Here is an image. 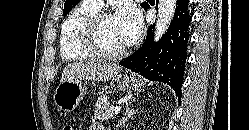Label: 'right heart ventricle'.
Returning a JSON list of instances; mask_svg holds the SVG:
<instances>
[{
  "mask_svg": "<svg viewBox=\"0 0 249 130\" xmlns=\"http://www.w3.org/2000/svg\"><path fill=\"white\" fill-rule=\"evenodd\" d=\"M90 0H82L64 20L59 36L62 59L74 61L92 57L82 44L81 32L87 19L100 10Z\"/></svg>",
  "mask_w": 249,
  "mask_h": 130,
  "instance_id": "1",
  "label": "right heart ventricle"
}]
</instances>
